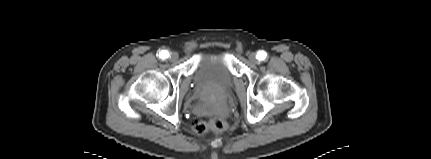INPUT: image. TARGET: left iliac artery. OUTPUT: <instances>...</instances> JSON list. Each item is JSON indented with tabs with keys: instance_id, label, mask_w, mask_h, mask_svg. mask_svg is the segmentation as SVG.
Returning <instances> with one entry per match:
<instances>
[{
	"instance_id": "left-iliac-artery-1",
	"label": "left iliac artery",
	"mask_w": 431,
	"mask_h": 159,
	"mask_svg": "<svg viewBox=\"0 0 431 159\" xmlns=\"http://www.w3.org/2000/svg\"><path fill=\"white\" fill-rule=\"evenodd\" d=\"M266 57H267V53H266L265 51H259V52L257 53V58H258L259 60H264Z\"/></svg>"
}]
</instances>
